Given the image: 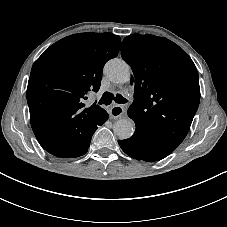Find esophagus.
I'll return each mask as SVG.
<instances>
[{"label": "esophagus", "instance_id": "34e87169", "mask_svg": "<svg viewBox=\"0 0 227 227\" xmlns=\"http://www.w3.org/2000/svg\"><path fill=\"white\" fill-rule=\"evenodd\" d=\"M125 112V109L123 106L121 105H114L111 107L110 111H109V115L111 118H118L120 116H122Z\"/></svg>", "mask_w": 227, "mask_h": 227}]
</instances>
